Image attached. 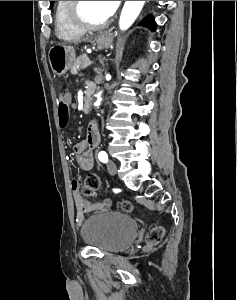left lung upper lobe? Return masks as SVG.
I'll list each match as a JSON object with an SVG mask.
<instances>
[{"label": "left lung upper lobe", "mask_w": 237, "mask_h": 300, "mask_svg": "<svg viewBox=\"0 0 237 300\" xmlns=\"http://www.w3.org/2000/svg\"><path fill=\"white\" fill-rule=\"evenodd\" d=\"M54 1H50V7L53 6ZM140 25H145L148 26L149 28H151L152 30H155L156 27V23L154 22V19L152 16H147L146 18H144L141 22Z\"/></svg>", "instance_id": "obj_1"}]
</instances>
